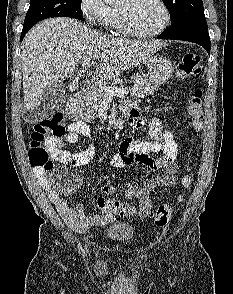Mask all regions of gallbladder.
Wrapping results in <instances>:
<instances>
[{"mask_svg":"<svg viewBox=\"0 0 233 294\" xmlns=\"http://www.w3.org/2000/svg\"><path fill=\"white\" fill-rule=\"evenodd\" d=\"M65 98V89L61 84L48 85L39 104L33 111L34 118L31 121H41L52 115L57 107L63 104Z\"/></svg>","mask_w":233,"mask_h":294,"instance_id":"obj_1","label":"gallbladder"}]
</instances>
